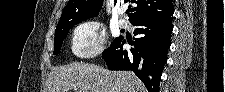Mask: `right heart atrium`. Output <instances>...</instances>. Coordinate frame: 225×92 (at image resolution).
I'll return each mask as SVG.
<instances>
[{"label": "right heart atrium", "instance_id": "right-heart-atrium-1", "mask_svg": "<svg viewBox=\"0 0 225 92\" xmlns=\"http://www.w3.org/2000/svg\"><path fill=\"white\" fill-rule=\"evenodd\" d=\"M104 43L105 31L95 20L80 23L73 29L71 48L78 59H89L99 54Z\"/></svg>", "mask_w": 225, "mask_h": 92}]
</instances>
